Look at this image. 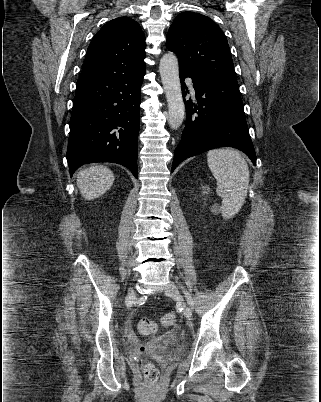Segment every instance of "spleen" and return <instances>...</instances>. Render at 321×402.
<instances>
[{"mask_svg":"<svg viewBox=\"0 0 321 402\" xmlns=\"http://www.w3.org/2000/svg\"><path fill=\"white\" fill-rule=\"evenodd\" d=\"M208 166L216 178L217 195L222 197V214L235 215L242 207L249 185V168L241 153L234 149H213L207 153Z\"/></svg>","mask_w":321,"mask_h":402,"instance_id":"obj_1","label":"spleen"}]
</instances>
